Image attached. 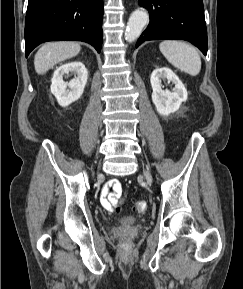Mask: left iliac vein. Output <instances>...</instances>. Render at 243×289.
Instances as JSON below:
<instances>
[{"mask_svg":"<svg viewBox=\"0 0 243 289\" xmlns=\"http://www.w3.org/2000/svg\"><path fill=\"white\" fill-rule=\"evenodd\" d=\"M144 175H145L147 181L151 183L152 182V176H151L150 172L148 170H146V171H144Z\"/></svg>","mask_w":243,"mask_h":289,"instance_id":"4c4485c4","label":"left iliac vein"}]
</instances>
